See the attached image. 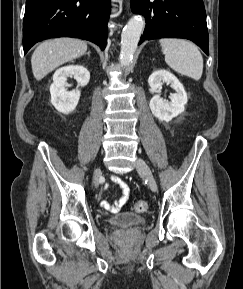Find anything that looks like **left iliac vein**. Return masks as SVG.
<instances>
[{"label":"left iliac vein","instance_id":"1","mask_svg":"<svg viewBox=\"0 0 243 289\" xmlns=\"http://www.w3.org/2000/svg\"><path fill=\"white\" fill-rule=\"evenodd\" d=\"M136 169L140 175H142L148 182L150 189L156 192L158 189L157 182L152 174L150 167L142 159H138L136 162Z\"/></svg>","mask_w":243,"mask_h":289}]
</instances>
